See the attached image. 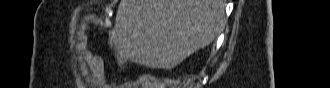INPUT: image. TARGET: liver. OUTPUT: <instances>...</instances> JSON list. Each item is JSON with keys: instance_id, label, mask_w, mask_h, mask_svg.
Wrapping results in <instances>:
<instances>
[{"instance_id": "6515ba94", "label": "liver", "mask_w": 330, "mask_h": 88, "mask_svg": "<svg viewBox=\"0 0 330 88\" xmlns=\"http://www.w3.org/2000/svg\"><path fill=\"white\" fill-rule=\"evenodd\" d=\"M223 20L222 0H121L109 41L121 67L172 69L212 43Z\"/></svg>"}]
</instances>
